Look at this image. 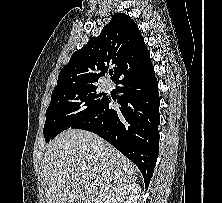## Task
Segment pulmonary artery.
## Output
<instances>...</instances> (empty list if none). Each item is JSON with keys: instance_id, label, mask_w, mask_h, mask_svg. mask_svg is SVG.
I'll list each match as a JSON object with an SVG mask.
<instances>
[{"instance_id": "e3ab8cb5", "label": "pulmonary artery", "mask_w": 222, "mask_h": 203, "mask_svg": "<svg viewBox=\"0 0 222 203\" xmlns=\"http://www.w3.org/2000/svg\"><path fill=\"white\" fill-rule=\"evenodd\" d=\"M104 86H105L106 88H109V87H110V83H109L108 81H105Z\"/></svg>"}]
</instances>
